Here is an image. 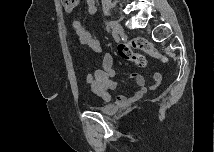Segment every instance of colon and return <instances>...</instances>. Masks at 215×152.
<instances>
[{"instance_id":"obj_1","label":"colon","mask_w":215,"mask_h":152,"mask_svg":"<svg viewBox=\"0 0 215 152\" xmlns=\"http://www.w3.org/2000/svg\"><path fill=\"white\" fill-rule=\"evenodd\" d=\"M77 3V0L63 1L64 8L67 12H72L77 6ZM133 48L143 50L150 56L158 57L165 61V57L150 42L143 38H134L129 42L120 43L117 47L118 53L122 58L135 63L139 67H145L147 65L146 58L141 54L133 52Z\"/></svg>"}]
</instances>
